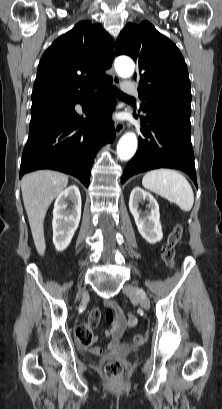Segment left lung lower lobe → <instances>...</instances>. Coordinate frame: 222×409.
Listing matches in <instances>:
<instances>
[{
	"instance_id": "left-lung-lower-lobe-1",
	"label": "left lung lower lobe",
	"mask_w": 222,
	"mask_h": 409,
	"mask_svg": "<svg viewBox=\"0 0 222 409\" xmlns=\"http://www.w3.org/2000/svg\"><path fill=\"white\" fill-rule=\"evenodd\" d=\"M146 113L141 117L138 151L127 164L122 183L137 173L163 167L184 171L197 186L190 115L177 105L157 107ZM134 117L137 118L135 114Z\"/></svg>"
}]
</instances>
